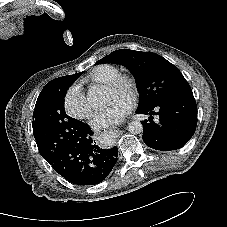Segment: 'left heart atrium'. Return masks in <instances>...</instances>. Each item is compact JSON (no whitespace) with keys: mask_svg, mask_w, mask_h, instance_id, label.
<instances>
[{"mask_svg":"<svg viewBox=\"0 0 227 227\" xmlns=\"http://www.w3.org/2000/svg\"><path fill=\"white\" fill-rule=\"evenodd\" d=\"M132 107L129 97L116 98L96 115L93 124L99 128L117 125L130 113Z\"/></svg>","mask_w":227,"mask_h":227,"instance_id":"left-heart-atrium-1","label":"left heart atrium"}]
</instances>
